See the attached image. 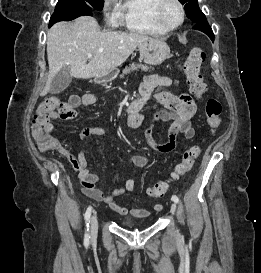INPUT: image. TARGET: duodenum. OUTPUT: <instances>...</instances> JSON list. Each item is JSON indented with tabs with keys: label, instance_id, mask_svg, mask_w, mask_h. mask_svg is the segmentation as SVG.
Wrapping results in <instances>:
<instances>
[{
	"label": "duodenum",
	"instance_id": "410a0bca",
	"mask_svg": "<svg viewBox=\"0 0 261 273\" xmlns=\"http://www.w3.org/2000/svg\"><path fill=\"white\" fill-rule=\"evenodd\" d=\"M141 105H142V100H137L133 104H131L128 108V114H129L128 119L132 127H138L144 121V116L140 112Z\"/></svg>",
	"mask_w": 261,
	"mask_h": 273
}]
</instances>
